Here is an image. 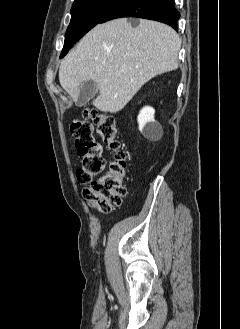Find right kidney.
Wrapping results in <instances>:
<instances>
[{
	"instance_id": "ca27d5eb",
	"label": "right kidney",
	"mask_w": 240,
	"mask_h": 329,
	"mask_svg": "<svg viewBox=\"0 0 240 329\" xmlns=\"http://www.w3.org/2000/svg\"><path fill=\"white\" fill-rule=\"evenodd\" d=\"M155 110L152 107H144L138 115L139 130L147 138L162 134V126L154 119Z\"/></svg>"
}]
</instances>
